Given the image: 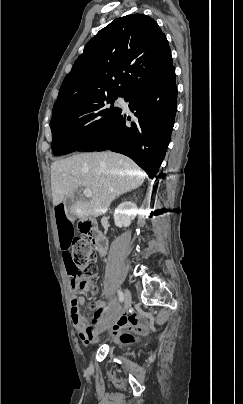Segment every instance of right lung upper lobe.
Masks as SVG:
<instances>
[{
    "label": "right lung upper lobe",
    "mask_w": 243,
    "mask_h": 404,
    "mask_svg": "<svg viewBox=\"0 0 243 404\" xmlns=\"http://www.w3.org/2000/svg\"><path fill=\"white\" fill-rule=\"evenodd\" d=\"M172 67L165 34L143 14L112 21L85 46L66 75L52 117L102 97H125Z\"/></svg>",
    "instance_id": "obj_1"
}]
</instances>
